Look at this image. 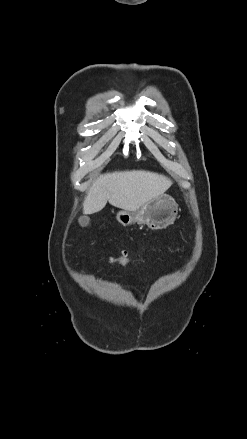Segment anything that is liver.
<instances>
[{
    "label": "liver",
    "instance_id": "6515ba94",
    "mask_svg": "<svg viewBox=\"0 0 247 439\" xmlns=\"http://www.w3.org/2000/svg\"><path fill=\"white\" fill-rule=\"evenodd\" d=\"M171 184L168 177L145 170L101 174L89 188L83 211L85 214L97 213L108 201L114 207L136 211L163 194Z\"/></svg>",
    "mask_w": 247,
    "mask_h": 439
}]
</instances>
